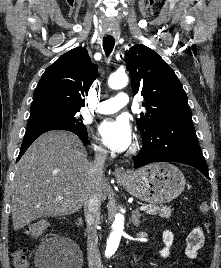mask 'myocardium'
I'll return each instance as SVG.
<instances>
[{"label":"myocardium","instance_id":"1","mask_svg":"<svg viewBox=\"0 0 221 268\" xmlns=\"http://www.w3.org/2000/svg\"><path fill=\"white\" fill-rule=\"evenodd\" d=\"M139 149V142H135V144L133 145V147L131 148V150L129 151V154H134L138 151Z\"/></svg>","mask_w":221,"mask_h":268}]
</instances>
